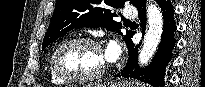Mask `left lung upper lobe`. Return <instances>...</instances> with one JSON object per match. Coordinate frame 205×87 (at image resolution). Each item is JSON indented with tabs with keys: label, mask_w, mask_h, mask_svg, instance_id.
Segmentation results:
<instances>
[{
	"label": "left lung upper lobe",
	"mask_w": 205,
	"mask_h": 87,
	"mask_svg": "<svg viewBox=\"0 0 205 87\" xmlns=\"http://www.w3.org/2000/svg\"><path fill=\"white\" fill-rule=\"evenodd\" d=\"M126 0H57L51 24L45 34L42 50L66 32L82 27H103L110 31L120 28L117 15L109 7L123 8ZM139 0H130L137 5ZM134 32L127 30L123 40L128 44Z\"/></svg>",
	"instance_id": "5c2ea615"
}]
</instances>
